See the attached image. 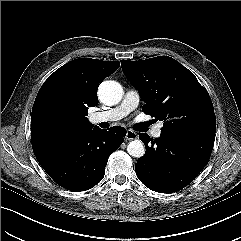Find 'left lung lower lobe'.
Listing matches in <instances>:
<instances>
[{
  "label": "left lung lower lobe",
  "mask_w": 241,
  "mask_h": 241,
  "mask_svg": "<svg viewBox=\"0 0 241 241\" xmlns=\"http://www.w3.org/2000/svg\"><path fill=\"white\" fill-rule=\"evenodd\" d=\"M146 146L135 171L139 180L159 193L176 192L188 185L207 165L214 142L206 139L161 131L152 139L140 133Z\"/></svg>",
  "instance_id": "left-lung-lower-lobe-1"
}]
</instances>
